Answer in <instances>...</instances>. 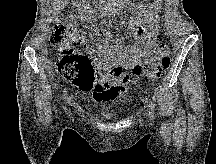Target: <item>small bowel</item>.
Returning <instances> with one entry per match:
<instances>
[{
  "label": "small bowel",
  "instance_id": "small-bowel-1",
  "mask_svg": "<svg viewBox=\"0 0 216 164\" xmlns=\"http://www.w3.org/2000/svg\"><path fill=\"white\" fill-rule=\"evenodd\" d=\"M160 7L161 0H153L134 9L128 20V27L137 40L129 45H125L120 38L116 39L114 45H109L107 40L112 38V34L102 29L94 28L90 35L77 33V42L86 47L88 54L98 61L99 57H104L108 65L100 85L90 95L92 101H122L130 83V77L124 70L134 72L138 67L149 66L156 61L155 55L162 50V45L157 41V13ZM70 19L75 20V17L71 16Z\"/></svg>",
  "mask_w": 216,
  "mask_h": 164
}]
</instances>
